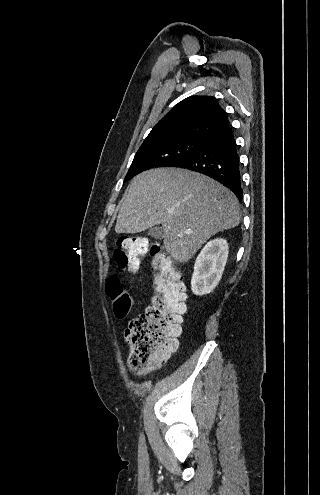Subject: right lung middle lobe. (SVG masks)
<instances>
[{"label": "right lung middle lobe", "mask_w": 320, "mask_h": 495, "mask_svg": "<svg viewBox=\"0 0 320 495\" xmlns=\"http://www.w3.org/2000/svg\"><path fill=\"white\" fill-rule=\"evenodd\" d=\"M206 139L186 138L172 142L141 146L128 170L124 181L154 167L176 166L192 157Z\"/></svg>", "instance_id": "1"}]
</instances>
